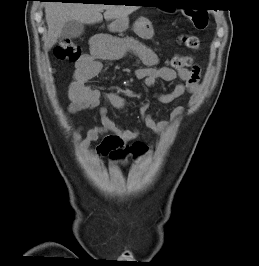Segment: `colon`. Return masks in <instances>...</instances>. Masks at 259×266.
Segmentation results:
<instances>
[{
    "label": "colon",
    "mask_w": 259,
    "mask_h": 266,
    "mask_svg": "<svg viewBox=\"0 0 259 266\" xmlns=\"http://www.w3.org/2000/svg\"><path fill=\"white\" fill-rule=\"evenodd\" d=\"M192 25L197 30H205L208 26V15L202 11H188L185 13ZM186 48L196 51L199 49L200 42L195 35L187 34L182 37ZM54 55L57 60L77 62L81 58L80 47L71 39H61L54 49ZM193 64V57L190 55L174 56L169 60V66L175 70H181L190 67ZM146 146L143 143L135 142L124 150L115 152L112 158H120L125 153L131 152L138 156L144 153Z\"/></svg>",
    "instance_id": "obj_1"
}]
</instances>
